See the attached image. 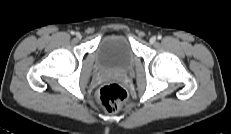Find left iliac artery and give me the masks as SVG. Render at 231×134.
<instances>
[{
    "mask_svg": "<svg viewBox=\"0 0 231 134\" xmlns=\"http://www.w3.org/2000/svg\"><path fill=\"white\" fill-rule=\"evenodd\" d=\"M161 38H162V36H161V35H159V36H158V39H161Z\"/></svg>",
    "mask_w": 231,
    "mask_h": 134,
    "instance_id": "obj_1",
    "label": "left iliac artery"
}]
</instances>
